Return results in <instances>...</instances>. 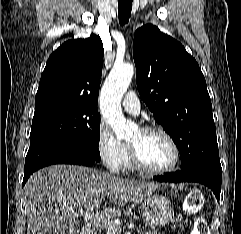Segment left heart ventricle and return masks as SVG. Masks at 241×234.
I'll return each mask as SVG.
<instances>
[{
    "instance_id": "1",
    "label": "left heart ventricle",
    "mask_w": 241,
    "mask_h": 234,
    "mask_svg": "<svg viewBox=\"0 0 241 234\" xmlns=\"http://www.w3.org/2000/svg\"><path fill=\"white\" fill-rule=\"evenodd\" d=\"M130 144L137 146L145 165L154 169L169 166L174 159V151L170 142L159 133L143 134L136 132Z\"/></svg>"
}]
</instances>
